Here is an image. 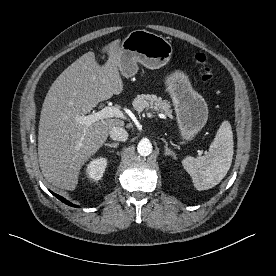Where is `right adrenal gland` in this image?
Returning <instances> with one entry per match:
<instances>
[{
    "label": "right adrenal gland",
    "instance_id": "2a0ac1e0",
    "mask_svg": "<svg viewBox=\"0 0 276 276\" xmlns=\"http://www.w3.org/2000/svg\"><path fill=\"white\" fill-rule=\"evenodd\" d=\"M119 143H105L104 146L110 147V148H117Z\"/></svg>",
    "mask_w": 276,
    "mask_h": 276
}]
</instances>
